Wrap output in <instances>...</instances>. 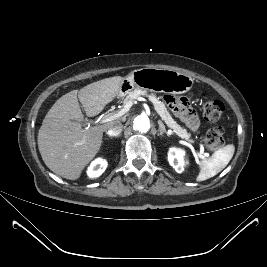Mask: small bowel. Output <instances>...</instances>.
I'll return each instance as SVG.
<instances>
[{"label":"small bowel","instance_id":"obj_1","mask_svg":"<svg viewBox=\"0 0 267 267\" xmlns=\"http://www.w3.org/2000/svg\"><path fill=\"white\" fill-rule=\"evenodd\" d=\"M164 101L168 108L178 115L192 131H197L199 129V119L191 109L189 101L186 98L165 95Z\"/></svg>","mask_w":267,"mask_h":267}]
</instances>
